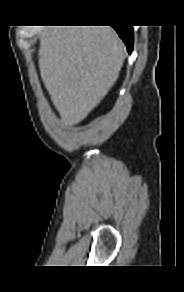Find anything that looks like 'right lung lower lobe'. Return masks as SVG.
<instances>
[{
    "instance_id": "98d812e1",
    "label": "right lung lower lobe",
    "mask_w": 184,
    "mask_h": 292,
    "mask_svg": "<svg viewBox=\"0 0 184 292\" xmlns=\"http://www.w3.org/2000/svg\"><path fill=\"white\" fill-rule=\"evenodd\" d=\"M115 30L127 45L128 52L131 53L133 48V30L131 26H114Z\"/></svg>"
}]
</instances>
